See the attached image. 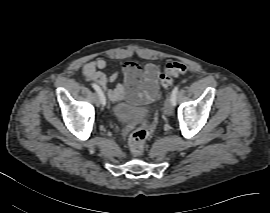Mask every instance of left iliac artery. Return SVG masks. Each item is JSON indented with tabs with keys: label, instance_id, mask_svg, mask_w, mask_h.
<instances>
[{
	"label": "left iliac artery",
	"instance_id": "obj_1",
	"mask_svg": "<svg viewBox=\"0 0 270 213\" xmlns=\"http://www.w3.org/2000/svg\"><path fill=\"white\" fill-rule=\"evenodd\" d=\"M177 93H178V86L174 87V89L172 90L171 96H170V99H171L173 106L176 105Z\"/></svg>",
	"mask_w": 270,
	"mask_h": 213
}]
</instances>
